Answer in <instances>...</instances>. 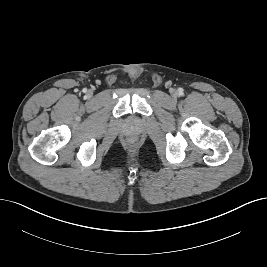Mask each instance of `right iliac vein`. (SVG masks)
Segmentation results:
<instances>
[{
    "instance_id": "obj_1",
    "label": "right iliac vein",
    "mask_w": 267,
    "mask_h": 267,
    "mask_svg": "<svg viewBox=\"0 0 267 267\" xmlns=\"http://www.w3.org/2000/svg\"><path fill=\"white\" fill-rule=\"evenodd\" d=\"M91 94H92V93L89 91V92H88V95L90 96Z\"/></svg>"
}]
</instances>
